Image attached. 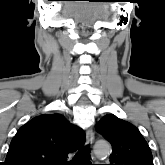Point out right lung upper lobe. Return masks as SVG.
<instances>
[{"instance_id":"right-lung-upper-lobe-1","label":"right lung upper lobe","mask_w":165,"mask_h":165,"mask_svg":"<svg viewBox=\"0 0 165 165\" xmlns=\"http://www.w3.org/2000/svg\"><path fill=\"white\" fill-rule=\"evenodd\" d=\"M85 143V134L61 114H43L13 137L4 165H64L66 156Z\"/></svg>"}]
</instances>
